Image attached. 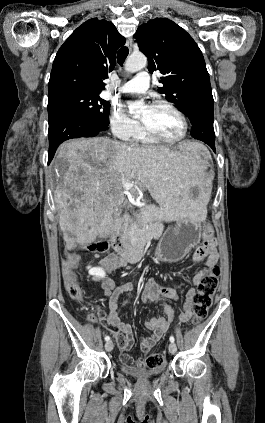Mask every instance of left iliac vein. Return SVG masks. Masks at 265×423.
<instances>
[{
	"label": "left iliac vein",
	"instance_id": "1",
	"mask_svg": "<svg viewBox=\"0 0 265 423\" xmlns=\"http://www.w3.org/2000/svg\"><path fill=\"white\" fill-rule=\"evenodd\" d=\"M168 348H169V352L172 353V354L176 353V351H177V346L174 342H171L169 344Z\"/></svg>",
	"mask_w": 265,
	"mask_h": 423
}]
</instances>
